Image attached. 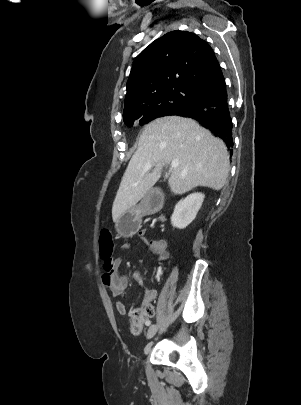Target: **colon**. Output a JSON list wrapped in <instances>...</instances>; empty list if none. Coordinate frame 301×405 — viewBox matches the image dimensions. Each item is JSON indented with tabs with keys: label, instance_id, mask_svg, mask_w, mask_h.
<instances>
[{
	"label": "colon",
	"instance_id": "obj_1",
	"mask_svg": "<svg viewBox=\"0 0 301 405\" xmlns=\"http://www.w3.org/2000/svg\"><path fill=\"white\" fill-rule=\"evenodd\" d=\"M99 250L100 256L104 261L106 266H111L112 262V254H113V240L112 235L109 230L103 229L99 235ZM152 310L149 308L146 312L141 310H133L132 311V331L139 332L141 329V323L144 320L146 314H151Z\"/></svg>",
	"mask_w": 301,
	"mask_h": 405
}]
</instances>
